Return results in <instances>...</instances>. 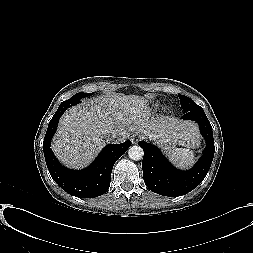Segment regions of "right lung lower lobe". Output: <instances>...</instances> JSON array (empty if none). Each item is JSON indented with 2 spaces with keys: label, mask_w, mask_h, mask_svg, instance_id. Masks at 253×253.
<instances>
[{
  "label": "right lung lower lobe",
  "mask_w": 253,
  "mask_h": 253,
  "mask_svg": "<svg viewBox=\"0 0 253 253\" xmlns=\"http://www.w3.org/2000/svg\"><path fill=\"white\" fill-rule=\"evenodd\" d=\"M79 102L80 99L67 100L60 104L49 122L43 142V151L51 177L60 187L73 196L93 198L104 194L109 189L113 166L130 147L131 142L127 140L121 144L107 145L86 169L75 171L62 166L50 148L51 139L64 111Z\"/></svg>",
  "instance_id": "98d812e1"
}]
</instances>
